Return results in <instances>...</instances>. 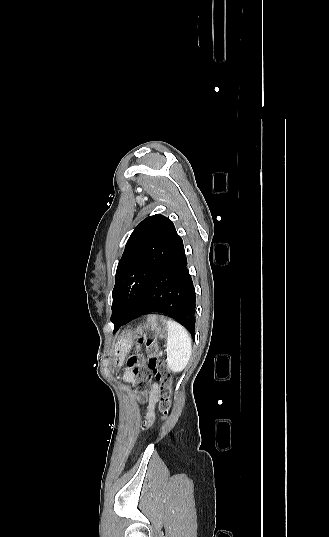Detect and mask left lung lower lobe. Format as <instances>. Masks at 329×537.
Masks as SVG:
<instances>
[{
    "mask_svg": "<svg viewBox=\"0 0 329 537\" xmlns=\"http://www.w3.org/2000/svg\"><path fill=\"white\" fill-rule=\"evenodd\" d=\"M195 302V288L183 246L158 271L122 324L144 314L163 313L182 324L194 339Z\"/></svg>",
    "mask_w": 329,
    "mask_h": 537,
    "instance_id": "0a47b994",
    "label": "left lung lower lobe"
}]
</instances>
